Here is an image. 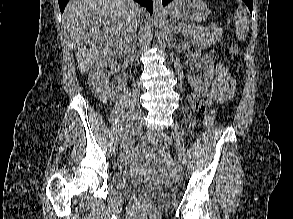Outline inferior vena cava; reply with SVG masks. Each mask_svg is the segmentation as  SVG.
<instances>
[{"mask_svg":"<svg viewBox=\"0 0 293 219\" xmlns=\"http://www.w3.org/2000/svg\"><path fill=\"white\" fill-rule=\"evenodd\" d=\"M137 26H138V20H137V18L135 17V20H134V28H135V30L137 29Z\"/></svg>","mask_w":293,"mask_h":219,"instance_id":"1","label":"inferior vena cava"}]
</instances>
